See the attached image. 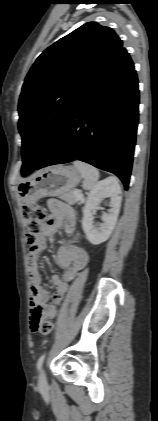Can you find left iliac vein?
Listing matches in <instances>:
<instances>
[{"label":"left iliac vein","instance_id":"obj_1","mask_svg":"<svg viewBox=\"0 0 158 421\" xmlns=\"http://www.w3.org/2000/svg\"><path fill=\"white\" fill-rule=\"evenodd\" d=\"M38 383L41 387L46 386V375H45L44 369L40 370L39 377H38Z\"/></svg>","mask_w":158,"mask_h":421}]
</instances>
